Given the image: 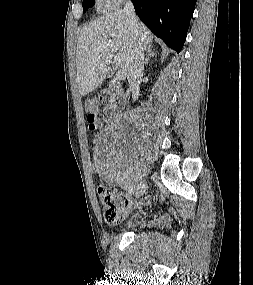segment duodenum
<instances>
[{"label":"duodenum","mask_w":253,"mask_h":285,"mask_svg":"<svg viewBox=\"0 0 253 285\" xmlns=\"http://www.w3.org/2000/svg\"><path fill=\"white\" fill-rule=\"evenodd\" d=\"M103 102L106 104V116L114 118L126 104L125 97L120 94L115 84H110L103 94Z\"/></svg>","instance_id":"duodenum-1"}]
</instances>
